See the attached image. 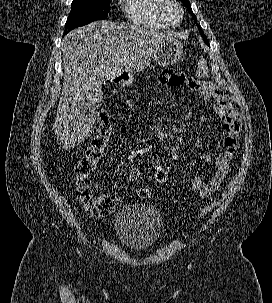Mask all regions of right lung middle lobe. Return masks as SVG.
<instances>
[{
  "instance_id": "obj_1",
  "label": "right lung middle lobe",
  "mask_w": 272,
  "mask_h": 303,
  "mask_svg": "<svg viewBox=\"0 0 272 303\" xmlns=\"http://www.w3.org/2000/svg\"><path fill=\"white\" fill-rule=\"evenodd\" d=\"M109 7L110 0H73L64 35L79 26L106 19Z\"/></svg>"
}]
</instances>
